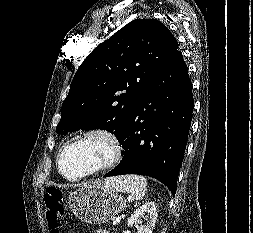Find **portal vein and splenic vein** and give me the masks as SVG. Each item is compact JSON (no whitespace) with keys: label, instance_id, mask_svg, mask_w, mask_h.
<instances>
[{"label":"portal vein and splenic vein","instance_id":"1","mask_svg":"<svg viewBox=\"0 0 253 233\" xmlns=\"http://www.w3.org/2000/svg\"><path fill=\"white\" fill-rule=\"evenodd\" d=\"M119 221H120V217L116 218L115 220H113V225H117Z\"/></svg>","mask_w":253,"mask_h":233}]
</instances>
